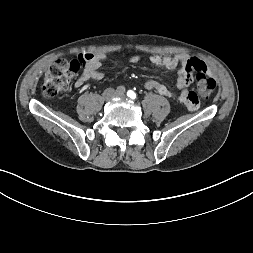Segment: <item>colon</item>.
<instances>
[{"instance_id": "obj_1", "label": "colon", "mask_w": 253, "mask_h": 253, "mask_svg": "<svg viewBox=\"0 0 253 253\" xmlns=\"http://www.w3.org/2000/svg\"><path fill=\"white\" fill-rule=\"evenodd\" d=\"M91 59V54L81 55L76 59H60L47 70L42 93L46 97H54L68 87L70 81L76 76ZM194 72V78L200 96H208L215 88V80L207 74L206 65L199 59H190L188 62ZM190 110V109H189Z\"/></svg>"}]
</instances>
